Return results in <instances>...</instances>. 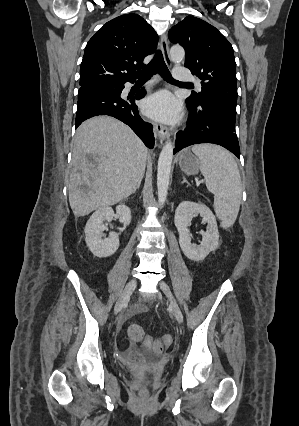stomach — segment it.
<instances>
[{
    "mask_svg": "<svg viewBox=\"0 0 299 426\" xmlns=\"http://www.w3.org/2000/svg\"><path fill=\"white\" fill-rule=\"evenodd\" d=\"M179 166L187 175H195L201 170L199 158L189 150H184L179 156Z\"/></svg>",
    "mask_w": 299,
    "mask_h": 426,
    "instance_id": "stomach-1",
    "label": "stomach"
}]
</instances>
